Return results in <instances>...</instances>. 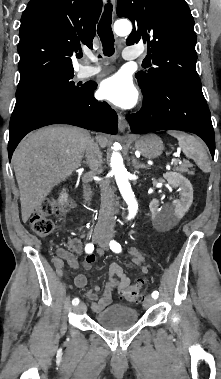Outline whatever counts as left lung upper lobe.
<instances>
[{
    "label": "left lung upper lobe",
    "instance_id": "left-lung-upper-lobe-1",
    "mask_svg": "<svg viewBox=\"0 0 221 379\" xmlns=\"http://www.w3.org/2000/svg\"><path fill=\"white\" fill-rule=\"evenodd\" d=\"M117 15L133 23L127 45L147 43L148 60L157 66L135 75L142 89L156 80L201 88L194 20L185 0H118Z\"/></svg>",
    "mask_w": 221,
    "mask_h": 379
}]
</instances>
